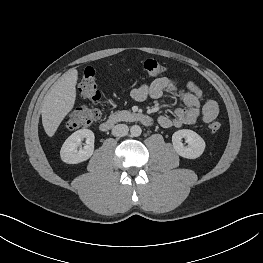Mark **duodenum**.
<instances>
[{"mask_svg": "<svg viewBox=\"0 0 263 263\" xmlns=\"http://www.w3.org/2000/svg\"><path fill=\"white\" fill-rule=\"evenodd\" d=\"M134 119L145 126H151L153 124L152 117L146 114L137 113L134 115ZM116 123V120L113 118L106 119L101 122L100 130L103 132H107L111 130L116 125Z\"/></svg>", "mask_w": 263, "mask_h": 263, "instance_id": "410a0bca", "label": "duodenum"}]
</instances>
